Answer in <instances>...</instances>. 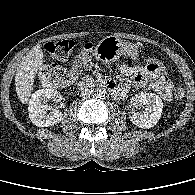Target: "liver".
Returning a JSON list of instances; mask_svg holds the SVG:
<instances>
[{
  "label": "liver",
  "instance_id": "obj_1",
  "mask_svg": "<svg viewBox=\"0 0 195 195\" xmlns=\"http://www.w3.org/2000/svg\"><path fill=\"white\" fill-rule=\"evenodd\" d=\"M43 51L40 45L34 46L20 62L15 76V86L21 103H28L33 91L34 77L43 65Z\"/></svg>",
  "mask_w": 195,
  "mask_h": 195
}]
</instances>
